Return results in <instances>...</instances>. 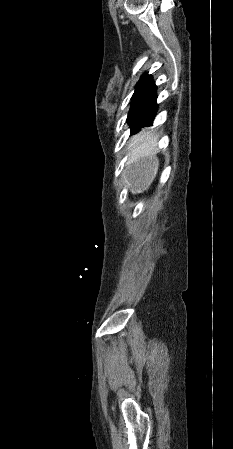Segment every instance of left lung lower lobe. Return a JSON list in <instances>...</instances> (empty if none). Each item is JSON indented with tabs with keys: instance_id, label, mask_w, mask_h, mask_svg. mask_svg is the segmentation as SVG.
<instances>
[{
	"instance_id": "obj_1",
	"label": "left lung lower lobe",
	"mask_w": 233,
	"mask_h": 449,
	"mask_svg": "<svg viewBox=\"0 0 233 449\" xmlns=\"http://www.w3.org/2000/svg\"><path fill=\"white\" fill-rule=\"evenodd\" d=\"M157 106L158 105L155 102L154 105L145 114L144 120H143L142 124L139 126V128L136 129V130L131 131V133L137 132L141 127L151 126L153 124V121H154V118H155L156 112H157Z\"/></svg>"
}]
</instances>
